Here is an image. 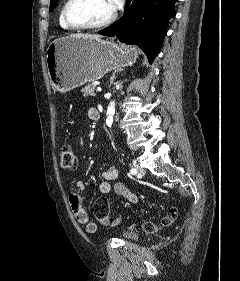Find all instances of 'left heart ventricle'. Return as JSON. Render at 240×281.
Wrapping results in <instances>:
<instances>
[{"instance_id":"obj_1","label":"left heart ventricle","mask_w":240,"mask_h":281,"mask_svg":"<svg viewBox=\"0 0 240 281\" xmlns=\"http://www.w3.org/2000/svg\"><path fill=\"white\" fill-rule=\"evenodd\" d=\"M113 11L110 0H74L69 15L76 23L93 24L105 20Z\"/></svg>"}]
</instances>
